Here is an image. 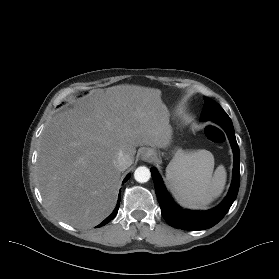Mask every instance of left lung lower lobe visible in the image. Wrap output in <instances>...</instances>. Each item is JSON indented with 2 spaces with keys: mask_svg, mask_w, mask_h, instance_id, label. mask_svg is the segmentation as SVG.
Returning a JSON list of instances; mask_svg holds the SVG:
<instances>
[{
  "mask_svg": "<svg viewBox=\"0 0 279 279\" xmlns=\"http://www.w3.org/2000/svg\"><path fill=\"white\" fill-rule=\"evenodd\" d=\"M216 123L226 131L234 153L232 184L228 195L219 206L205 212L187 211L179 208L166 192L157 170L151 168V175L154 179L155 192L160 204L161 214L166 222L175 228L184 230H204L211 228L224 217L237 197L240 183V155L234 128L231 119L229 121L219 120Z\"/></svg>",
  "mask_w": 279,
  "mask_h": 279,
  "instance_id": "obj_1",
  "label": "left lung lower lobe"
}]
</instances>
